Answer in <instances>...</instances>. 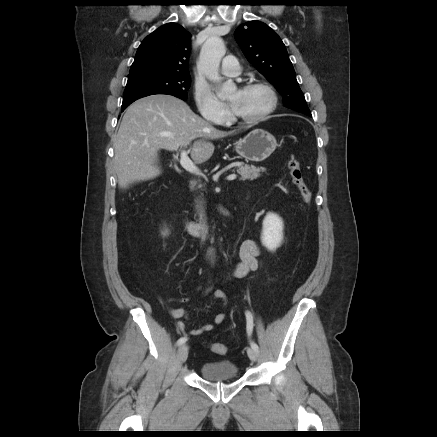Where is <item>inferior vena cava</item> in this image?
Masks as SVG:
<instances>
[{
    "mask_svg": "<svg viewBox=\"0 0 437 437\" xmlns=\"http://www.w3.org/2000/svg\"><path fill=\"white\" fill-rule=\"evenodd\" d=\"M200 207H201V206H200ZM199 215H200V220H202L203 224L205 225V222H204V220H203L204 214H203V210H202V208L200 209V213H199Z\"/></svg>",
    "mask_w": 437,
    "mask_h": 437,
    "instance_id": "obj_1",
    "label": "inferior vena cava"
}]
</instances>
